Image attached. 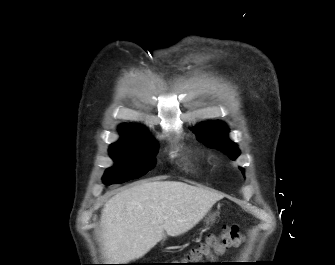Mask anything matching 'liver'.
<instances>
[{"label":"liver","mask_w":335,"mask_h":265,"mask_svg":"<svg viewBox=\"0 0 335 265\" xmlns=\"http://www.w3.org/2000/svg\"><path fill=\"white\" fill-rule=\"evenodd\" d=\"M222 198L177 181L142 182L121 190L102 209L104 255L115 264L139 259L165 233L174 237L192 229Z\"/></svg>","instance_id":"liver-1"}]
</instances>
